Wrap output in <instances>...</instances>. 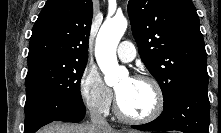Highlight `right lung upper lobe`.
I'll list each match as a JSON object with an SVG mask.
<instances>
[{
	"instance_id": "cb5924a9",
	"label": "right lung upper lobe",
	"mask_w": 221,
	"mask_h": 133,
	"mask_svg": "<svg viewBox=\"0 0 221 133\" xmlns=\"http://www.w3.org/2000/svg\"><path fill=\"white\" fill-rule=\"evenodd\" d=\"M92 0H48L32 30L28 73L87 62Z\"/></svg>"
}]
</instances>
